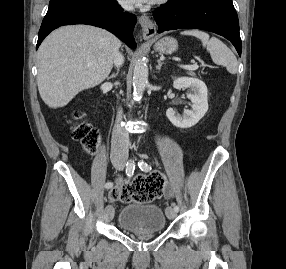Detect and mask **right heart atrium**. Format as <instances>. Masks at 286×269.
I'll return each mask as SVG.
<instances>
[{"label": "right heart atrium", "mask_w": 286, "mask_h": 269, "mask_svg": "<svg viewBox=\"0 0 286 269\" xmlns=\"http://www.w3.org/2000/svg\"><path fill=\"white\" fill-rule=\"evenodd\" d=\"M123 2V1H122ZM122 5H123V7L125 8V9H129V7L127 6V5H125V4H123L122 3Z\"/></svg>", "instance_id": "d8ad5b80"}]
</instances>
